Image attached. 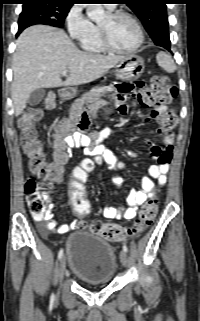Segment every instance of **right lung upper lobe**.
I'll list each match as a JSON object with an SVG mask.
<instances>
[{"mask_svg":"<svg viewBox=\"0 0 200 321\" xmlns=\"http://www.w3.org/2000/svg\"><path fill=\"white\" fill-rule=\"evenodd\" d=\"M23 2H29V1H55L58 2V4L61 5H67V6H72L74 1L76 0H22Z\"/></svg>","mask_w":200,"mask_h":321,"instance_id":"right-lung-upper-lobe-1","label":"right lung upper lobe"}]
</instances>
